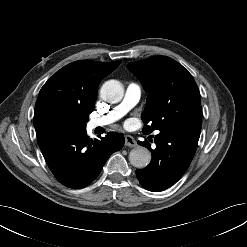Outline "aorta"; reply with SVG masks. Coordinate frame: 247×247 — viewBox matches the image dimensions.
<instances>
[{"mask_svg": "<svg viewBox=\"0 0 247 247\" xmlns=\"http://www.w3.org/2000/svg\"><path fill=\"white\" fill-rule=\"evenodd\" d=\"M101 98L109 103H118L124 95V88L119 81H106L100 89ZM129 161L136 168H145L151 161L150 151L142 146L132 149L129 153Z\"/></svg>", "mask_w": 247, "mask_h": 247, "instance_id": "762f6f07", "label": "aorta"}]
</instances>
